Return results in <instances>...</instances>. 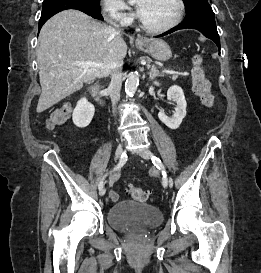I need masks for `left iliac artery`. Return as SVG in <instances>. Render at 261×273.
<instances>
[{
    "instance_id": "44dca946",
    "label": "left iliac artery",
    "mask_w": 261,
    "mask_h": 273,
    "mask_svg": "<svg viewBox=\"0 0 261 273\" xmlns=\"http://www.w3.org/2000/svg\"><path fill=\"white\" fill-rule=\"evenodd\" d=\"M152 163H153L158 169H160V170L162 171V175H163V181H162V183H163V186L166 187V186H167V181H168V179H167V174H166V172H165V169H164V166H163L161 160H160L159 158L153 156V157H152ZM170 182H171V186H173V180H172V179H171Z\"/></svg>"
}]
</instances>
